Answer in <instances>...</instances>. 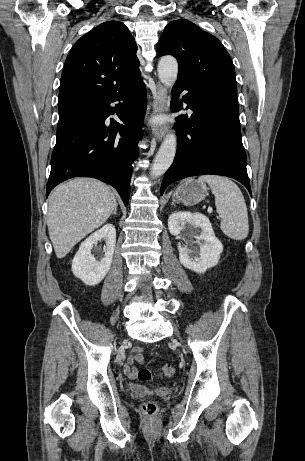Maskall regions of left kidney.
<instances>
[{
  "label": "left kidney",
  "mask_w": 305,
  "mask_h": 461,
  "mask_svg": "<svg viewBox=\"0 0 305 461\" xmlns=\"http://www.w3.org/2000/svg\"><path fill=\"white\" fill-rule=\"evenodd\" d=\"M169 232L178 236L195 229V237L199 246V256H194L193 250L178 244L180 263L196 273H205L218 264L223 250L222 243L215 236L209 219L201 213L175 212L168 219Z\"/></svg>",
  "instance_id": "1"
}]
</instances>
